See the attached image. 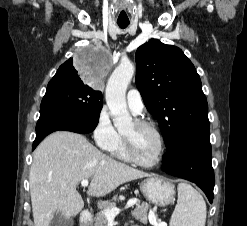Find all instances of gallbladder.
<instances>
[{
	"label": "gallbladder",
	"mask_w": 247,
	"mask_h": 226,
	"mask_svg": "<svg viewBox=\"0 0 247 226\" xmlns=\"http://www.w3.org/2000/svg\"><path fill=\"white\" fill-rule=\"evenodd\" d=\"M49 226H73L72 217L66 218L62 213H56Z\"/></svg>",
	"instance_id": "obj_1"
}]
</instances>
